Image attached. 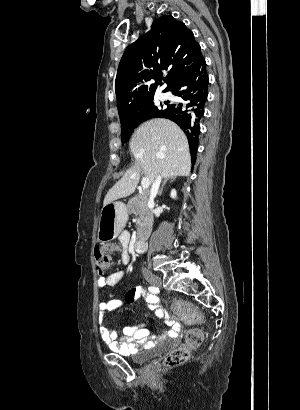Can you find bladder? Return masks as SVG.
<instances>
[{"instance_id":"bladder-1","label":"bladder","mask_w":300,"mask_h":410,"mask_svg":"<svg viewBox=\"0 0 300 410\" xmlns=\"http://www.w3.org/2000/svg\"><path fill=\"white\" fill-rule=\"evenodd\" d=\"M166 343L169 342V340L165 341ZM153 351L154 349L148 350L144 353L141 354H135L133 356H131V359L136 362V363H144L148 360H150L153 356Z\"/></svg>"}]
</instances>
